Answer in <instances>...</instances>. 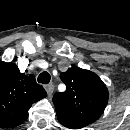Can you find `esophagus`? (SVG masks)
Here are the masks:
<instances>
[{"mask_svg":"<svg viewBox=\"0 0 130 130\" xmlns=\"http://www.w3.org/2000/svg\"><path fill=\"white\" fill-rule=\"evenodd\" d=\"M45 90L48 93V95H51L54 91V85L53 84L45 85Z\"/></svg>","mask_w":130,"mask_h":130,"instance_id":"34e87169","label":"esophagus"}]
</instances>
